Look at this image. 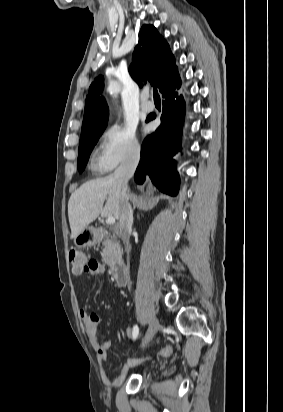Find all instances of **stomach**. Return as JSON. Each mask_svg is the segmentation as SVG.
<instances>
[{
	"mask_svg": "<svg viewBox=\"0 0 283 412\" xmlns=\"http://www.w3.org/2000/svg\"><path fill=\"white\" fill-rule=\"evenodd\" d=\"M98 241V235L94 228L86 227L79 235L74 238V244L78 248H86L95 245Z\"/></svg>",
	"mask_w": 283,
	"mask_h": 412,
	"instance_id": "1",
	"label": "stomach"
}]
</instances>
